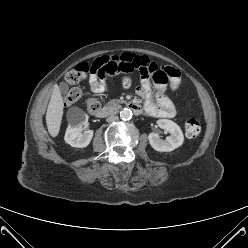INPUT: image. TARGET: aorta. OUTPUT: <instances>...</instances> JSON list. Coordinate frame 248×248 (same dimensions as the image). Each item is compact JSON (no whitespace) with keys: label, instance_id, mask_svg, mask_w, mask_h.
<instances>
[{"label":"aorta","instance_id":"aorta-1","mask_svg":"<svg viewBox=\"0 0 248 248\" xmlns=\"http://www.w3.org/2000/svg\"><path fill=\"white\" fill-rule=\"evenodd\" d=\"M132 115H133L132 111L128 108H124L120 111V117L122 120L125 121L130 120L132 118Z\"/></svg>","mask_w":248,"mask_h":248}]
</instances>
